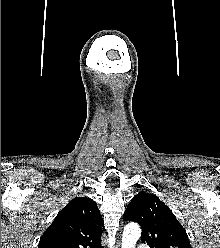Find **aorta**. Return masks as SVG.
I'll use <instances>...</instances> for the list:
<instances>
[{
    "instance_id": "aorta-1",
    "label": "aorta",
    "mask_w": 220,
    "mask_h": 248,
    "mask_svg": "<svg viewBox=\"0 0 220 248\" xmlns=\"http://www.w3.org/2000/svg\"><path fill=\"white\" fill-rule=\"evenodd\" d=\"M141 236V229L136 223H129L125 226L122 236V248H135Z\"/></svg>"
}]
</instances>
